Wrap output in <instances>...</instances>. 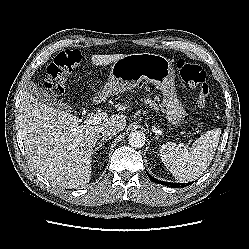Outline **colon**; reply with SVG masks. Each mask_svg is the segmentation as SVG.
Instances as JSON below:
<instances>
[{
  "instance_id": "colon-1",
  "label": "colon",
  "mask_w": 249,
  "mask_h": 249,
  "mask_svg": "<svg viewBox=\"0 0 249 249\" xmlns=\"http://www.w3.org/2000/svg\"><path fill=\"white\" fill-rule=\"evenodd\" d=\"M82 60L83 53L80 50L67 49L59 52L48 65L44 87L56 100L62 99L67 78ZM177 69L182 80L197 89L196 102L198 106L204 107L208 102L209 88L203 68L180 59L177 62Z\"/></svg>"
}]
</instances>
